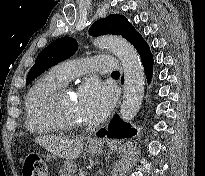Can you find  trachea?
<instances>
[{"instance_id": "trachea-1", "label": "trachea", "mask_w": 205, "mask_h": 176, "mask_svg": "<svg viewBox=\"0 0 205 176\" xmlns=\"http://www.w3.org/2000/svg\"><path fill=\"white\" fill-rule=\"evenodd\" d=\"M113 73H119L118 71H113Z\"/></svg>"}]
</instances>
